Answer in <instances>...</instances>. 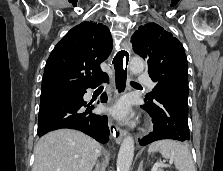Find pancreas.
<instances>
[{"mask_svg":"<svg viewBox=\"0 0 223 171\" xmlns=\"http://www.w3.org/2000/svg\"><path fill=\"white\" fill-rule=\"evenodd\" d=\"M158 171H163V169H158Z\"/></svg>","mask_w":223,"mask_h":171,"instance_id":"obj_1","label":"pancreas"}]
</instances>
